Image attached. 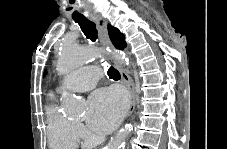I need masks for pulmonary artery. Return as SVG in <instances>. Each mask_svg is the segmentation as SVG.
<instances>
[{
	"label": "pulmonary artery",
	"instance_id": "1",
	"mask_svg": "<svg viewBox=\"0 0 227 149\" xmlns=\"http://www.w3.org/2000/svg\"><path fill=\"white\" fill-rule=\"evenodd\" d=\"M100 70L95 66H85L73 70L63 79L60 89L85 92L95 87L100 76Z\"/></svg>",
	"mask_w": 227,
	"mask_h": 149
}]
</instances>
